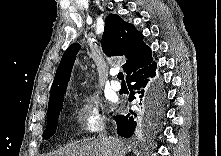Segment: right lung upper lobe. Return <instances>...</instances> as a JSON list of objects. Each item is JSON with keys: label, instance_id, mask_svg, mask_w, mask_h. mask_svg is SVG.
<instances>
[{"label": "right lung upper lobe", "instance_id": "cb5924a9", "mask_svg": "<svg viewBox=\"0 0 221 156\" xmlns=\"http://www.w3.org/2000/svg\"><path fill=\"white\" fill-rule=\"evenodd\" d=\"M102 48L108 56H126L127 61L123 65L126 78L152 62L151 49L144 43L142 33L116 14L108 15L105 20ZM79 49L80 45L74 43L63 54L52 84L48 106L64 97Z\"/></svg>", "mask_w": 221, "mask_h": 156}]
</instances>
